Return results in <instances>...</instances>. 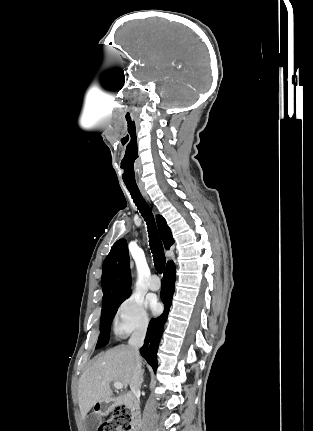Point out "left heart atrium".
Masks as SVG:
<instances>
[{
	"label": "left heart atrium",
	"mask_w": 313,
	"mask_h": 431,
	"mask_svg": "<svg viewBox=\"0 0 313 431\" xmlns=\"http://www.w3.org/2000/svg\"><path fill=\"white\" fill-rule=\"evenodd\" d=\"M151 308L153 312L157 314V313H160L162 309V305L158 301L154 300L151 302Z\"/></svg>",
	"instance_id": "1"
}]
</instances>
